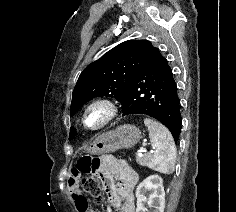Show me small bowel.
<instances>
[{
  "mask_svg": "<svg viewBox=\"0 0 236 212\" xmlns=\"http://www.w3.org/2000/svg\"><path fill=\"white\" fill-rule=\"evenodd\" d=\"M98 167L94 170L101 176L112 206L120 212H136L133 187L138 176L132 167L125 161L110 155H104L97 160ZM84 173L79 167L72 171L69 178V191L72 195L78 212H93L88 207L86 197L77 187L78 179ZM108 212H112L109 210Z\"/></svg>",
  "mask_w": 236,
  "mask_h": 212,
  "instance_id": "small-bowel-1",
  "label": "small bowel"
}]
</instances>
